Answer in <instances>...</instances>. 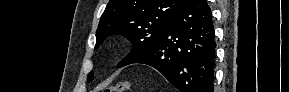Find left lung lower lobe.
<instances>
[{
	"label": "left lung lower lobe",
	"mask_w": 289,
	"mask_h": 92,
	"mask_svg": "<svg viewBox=\"0 0 289 92\" xmlns=\"http://www.w3.org/2000/svg\"><path fill=\"white\" fill-rule=\"evenodd\" d=\"M215 33L206 0H187L155 47L132 63L152 66L180 92H213Z\"/></svg>",
	"instance_id": "left-lung-lower-lobe-1"
}]
</instances>
